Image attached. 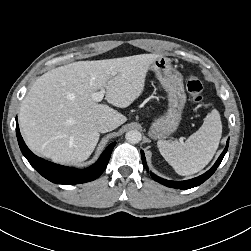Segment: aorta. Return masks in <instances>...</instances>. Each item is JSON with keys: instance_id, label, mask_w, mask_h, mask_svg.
I'll list each match as a JSON object with an SVG mask.
<instances>
[{"instance_id": "aorta-1", "label": "aorta", "mask_w": 251, "mask_h": 251, "mask_svg": "<svg viewBox=\"0 0 251 251\" xmlns=\"http://www.w3.org/2000/svg\"><path fill=\"white\" fill-rule=\"evenodd\" d=\"M126 140L131 144H136L141 141L142 135L138 130H129L125 134Z\"/></svg>"}]
</instances>
